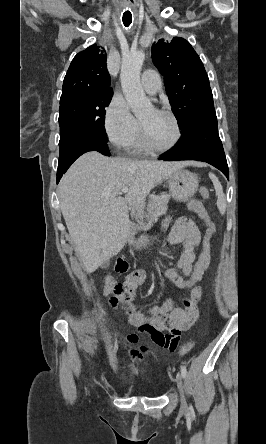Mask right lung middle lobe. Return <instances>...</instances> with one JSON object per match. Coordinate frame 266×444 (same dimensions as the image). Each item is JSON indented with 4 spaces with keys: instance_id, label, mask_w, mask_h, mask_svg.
<instances>
[{
    "instance_id": "right-lung-middle-lobe-1",
    "label": "right lung middle lobe",
    "mask_w": 266,
    "mask_h": 444,
    "mask_svg": "<svg viewBox=\"0 0 266 444\" xmlns=\"http://www.w3.org/2000/svg\"><path fill=\"white\" fill-rule=\"evenodd\" d=\"M112 94V91L96 92L60 101V156L89 137L107 141L105 107L110 104Z\"/></svg>"
}]
</instances>
